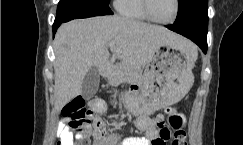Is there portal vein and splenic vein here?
<instances>
[{
	"label": "portal vein and splenic vein",
	"mask_w": 243,
	"mask_h": 145,
	"mask_svg": "<svg viewBox=\"0 0 243 145\" xmlns=\"http://www.w3.org/2000/svg\"><path fill=\"white\" fill-rule=\"evenodd\" d=\"M114 45H115V41H111V42L108 43L109 47H113Z\"/></svg>",
	"instance_id": "1"
}]
</instances>
